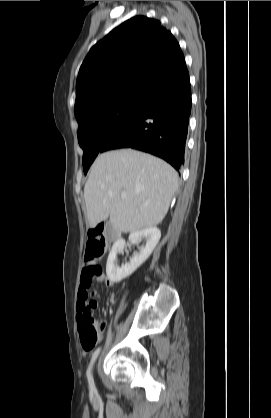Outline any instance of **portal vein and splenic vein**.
I'll return each instance as SVG.
<instances>
[{"label":"portal vein and splenic vein","mask_w":271,"mask_h":418,"mask_svg":"<svg viewBox=\"0 0 271 418\" xmlns=\"http://www.w3.org/2000/svg\"><path fill=\"white\" fill-rule=\"evenodd\" d=\"M121 197H122L123 199H125V198H126V194L122 193V194H121Z\"/></svg>","instance_id":"obj_1"}]
</instances>
